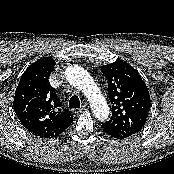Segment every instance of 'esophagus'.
<instances>
[{"label": "esophagus", "mask_w": 174, "mask_h": 174, "mask_svg": "<svg viewBox=\"0 0 174 174\" xmlns=\"http://www.w3.org/2000/svg\"><path fill=\"white\" fill-rule=\"evenodd\" d=\"M87 103H83V105L81 106L80 110H85L87 108Z\"/></svg>", "instance_id": "1"}]
</instances>
